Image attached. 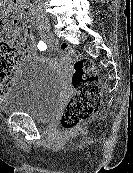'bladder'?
Masks as SVG:
<instances>
[{
	"mask_svg": "<svg viewBox=\"0 0 133 173\" xmlns=\"http://www.w3.org/2000/svg\"><path fill=\"white\" fill-rule=\"evenodd\" d=\"M64 85L59 72L46 62L31 60L19 67L0 100L3 113H26L48 121L56 113Z\"/></svg>",
	"mask_w": 133,
	"mask_h": 173,
	"instance_id": "1",
	"label": "bladder"
}]
</instances>
